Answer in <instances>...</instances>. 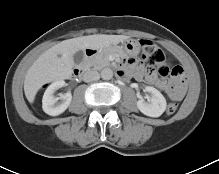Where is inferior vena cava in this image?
Masks as SVG:
<instances>
[{
  "label": "inferior vena cava",
  "mask_w": 219,
  "mask_h": 174,
  "mask_svg": "<svg viewBox=\"0 0 219 174\" xmlns=\"http://www.w3.org/2000/svg\"><path fill=\"white\" fill-rule=\"evenodd\" d=\"M99 78H100V75L95 70H88L83 75V80L85 82L97 81V80H99Z\"/></svg>",
  "instance_id": "602c4592"
}]
</instances>
